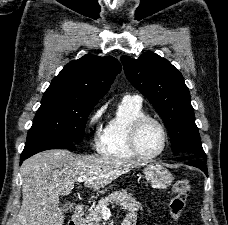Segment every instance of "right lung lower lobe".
I'll return each mask as SVG.
<instances>
[{"instance_id": "right-lung-lower-lobe-1", "label": "right lung lower lobe", "mask_w": 228, "mask_h": 225, "mask_svg": "<svg viewBox=\"0 0 228 225\" xmlns=\"http://www.w3.org/2000/svg\"><path fill=\"white\" fill-rule=\"evenodd\" d=\"M69 149L75 151L76 148L72 141L64 138L45 137L32 141H27L20 157V164L30 156L49 149Z\"/></svg>"}]
</instances>
